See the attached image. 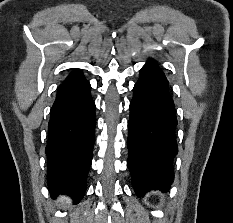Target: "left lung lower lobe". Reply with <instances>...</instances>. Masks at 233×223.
<instances>
[{"label": "left lung lower lobe", "mask_w": 233, "mask_h": 223, "mask_svg": "<svg viewBox=\"0 0 233 223\" xmlns=\"http://www.w3.org/2000/svg\"><path fill=\"white\" fill-rule=\"evenodd\" d=\"M168 84L157 63L151 60L141 69L133 88L127 165L138 197L152 189L167 192L174 178L177 119Z\"/></svg>", "instance_id": "left-lung-lower-lobe-1"}]
</instances>
